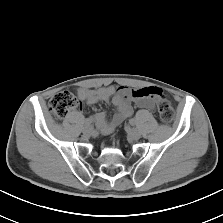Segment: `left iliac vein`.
<instances>
[{"label": "left iliac vein", "instance_id": "4c4485c4", "mask_svg": "<svg viewBox=\"0 0 223 223\" xmlns=\"http://www.w3.org/2000/svg\"><path fill=\"white\" fill-rule=\"evenodd\" d=\"M128 137L131 140H138L141 137V133L136 128H128L127 129Z\"/></svg>", "mask_w": 223, "mask_h": 223}]
</instances>
